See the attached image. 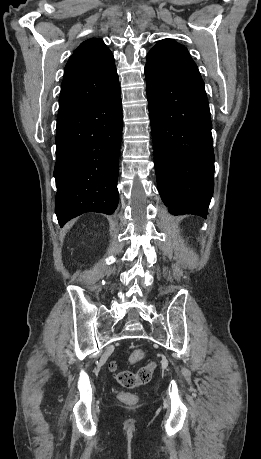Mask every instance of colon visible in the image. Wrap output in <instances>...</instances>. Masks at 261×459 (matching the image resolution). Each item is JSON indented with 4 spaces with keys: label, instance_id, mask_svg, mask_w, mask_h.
Segmentation results:
<instances>
[{
    "label": "colon",
    "instance_id": "5ec220e1",
    "mask_svg": "<svg viewBox=\"0 0 261 459\" xmlns=\"http://www.w3.org/2000/svg\"><path fill=\"white\" fill-rule=\"evenodd\" d=\"M144 357V353L140 349H135L131 352L129 360L131 363H137ZM110 369L116 371V364L110 363ZM156 369V363L151 362L144 367H141L138 371L133 372L130 370H121L116 373L117 382L125 388H134L138 385L146 384L150 381L154 370ZM119 397L122 401L130 403L134 401V396L128 392H121Z\"/></svg>",
    "mask_w": 261,
    "mask_h": 459
}]
</instances>
